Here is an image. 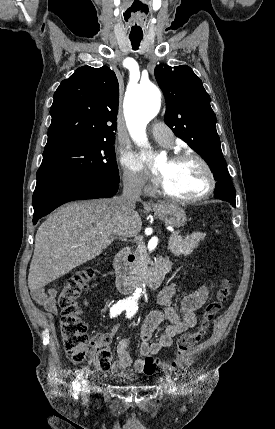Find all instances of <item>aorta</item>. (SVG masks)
Returning a JSON list of instances; mask_svg holds the SVG:
<instances>
[{
  "instance_id": "762f6f07",
  "label": "aorta",
  "mask_w": 275,
  "mask_h": 429,
  "mask_svg": "<svg viewBox=\"0 0 275 429\" xmlns=\"http://www.w3.org/2000/svg\"><path fill=\"white\" fill-rule=\"evenodd\" d=\"M161 108V93L154 84H142L133 89L125 100V118L133 139L139 145H146L145 127ZM143 294L137 288L132 300L135 302Z\"/></svg>"
}]
</instances>
